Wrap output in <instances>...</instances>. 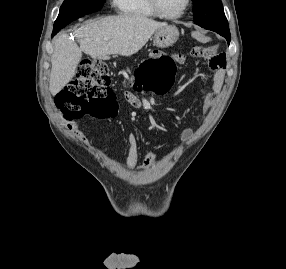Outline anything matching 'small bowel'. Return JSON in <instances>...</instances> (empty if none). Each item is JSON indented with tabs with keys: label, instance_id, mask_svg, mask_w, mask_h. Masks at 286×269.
I'll use <instances>...</instances> for the list:
<instances>
[{
	"label": "small bowel",
	"instance_id": "obj_1",
	"mask_svg": "<svg viewBox=\"0 0 286 269\" xmlns=\"http://www.w3.org/2000/svg\"><path fill=\"white\" fill-rule=\"evenodd\" d=\"M195 48L191 49L190 55L193 58L196 59H203L208 62V65L210 69L214 71L212 85H211V91L206 92L204 95V101H203V113H208L214 106L215 97L222 89L224 78H225V72H226V64H227V58L225 54L216 53L213 49V47H208L200 51L195 52ZM175 61L178 64H184L186 61V58L183 54H176L174 56ZM124 93H131V88H124ZM136 94H125V99H136ZM130 106H134L135 110H144L145 106L142 105V101H130ZM140 115L143 116L144 120H153L154 123H162L163 120L167 119V112L161 111L160 115L158 111L154 112V115H151L150 111H141ZM191 136V130L185 129L183 131V137L187 140ZM127 142H128V152L126 157V166L129 170H134L138 165L139 160V148H138V138L135 134L130 133L127 136ZM157 157V153L153 150H150L146 153L143 159V166L144 168H150L153 163L155 162Z\"/></svg>",
	"mask_w": 286,
	"mask_h": 269
}]
</instances>
